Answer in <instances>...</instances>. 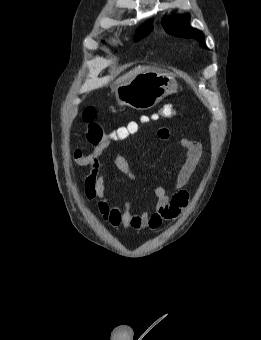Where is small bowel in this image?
I'll return each instance as SVG.
<instances>
[{
  "label": "small bowel",
  "mask_w": 261,
  "mask_h": 340,
  "mask_svg": "<svg viewBox=\"0 0 261 340\" xmlns=\"http://www.w3.org/2000/svg\"><path fill=\"white\" fill-rule=\"evenodd\" d=\"M145 121L148 118L144 119ZM138 124L129 123L125 127L118 128L120 140L126 139L136 133ZM157 137L160 140H167L170 132L166 127H160L157 130ZM113 133H110L106 139L99 145H96L88 154H83L77 149L73 153V161L79 167H86L89 173L84 181V197L87 201L95 202L98 213L101 217L113 227H121L123 230L141 231L144 229L156 230L165 221L176 219L181 212L187 207L189 202V193L183 187L190 179L193 172L200 167L203 160L202 146L199 142L182 138L179 143L185 150L186 156L181 165L175 181L174 192L169 194L167 190L158 186L154 189V195L157 199L155 209L152 213L142 212L133 213L130 210V203L127 201L123 207L109 204L106 199V187L104 179L105 165L100 161L102 153L113 141ZM116 168L130 180H136L135 173L131 170L127 160L118 155L114 160Z\"/></svg>",
  "instance_id": "small-bowel-1"
}]
</instances>
